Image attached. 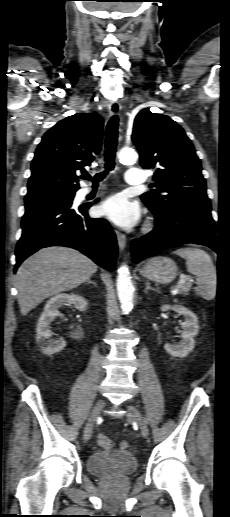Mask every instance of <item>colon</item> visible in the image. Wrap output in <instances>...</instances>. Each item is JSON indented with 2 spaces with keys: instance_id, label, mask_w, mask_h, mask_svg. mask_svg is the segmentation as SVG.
I'll list each match as a JSON object with an SVG mask.
<instances>
[{
  "instance_id": "5ec220e1",
  "label": "colon",
  "mask_w": 230,
  "mask_h": 517,
  "mask_svg": "<svg viewBox=\"0 0 230 517\" xmlns=\"http://www.w3.org/2000/svg\"><path fill=\"white\" fill-rule=\"evenodd\" d=\"M98 444L104 449H110L113 447V442L105 435H100L98 437ZM119 447L121 450H127L129 448V443L127 441H121Z\"/></svg>"
}]
</instances>
